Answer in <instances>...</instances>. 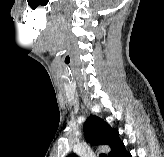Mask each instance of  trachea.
Listing matches in <instances>:
<instances>
[{"label": "trachea", "mask_w": 164, "mask_h": 157, "mask_svg": "<svg viewBox=\"0 0 164 157\" xmlns=\"http://www.w3.org/2000/svg\"><path fill=\"white\" fill-rule=\"evenodd\" d=\"M99 157H106V154H100Z\"/></svg>", "instance_id": "3493384b"}]
</instances>
